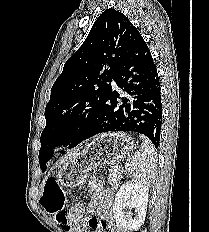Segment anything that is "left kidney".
Instances as JSON below:
<instances>
[{"label":"left kidney","instance_id":"5707ae66","mask_svg":"<svg viewBox=\"0 0 209 232\" xmlns=\"http://www.w3.org/2000/svg\"><path fill=\"white\" fill-rule=\"evenodd\" d=\"M148 203V186L140 181H131L123 184L116 194L113 204L114 218L119 228L128 231L138 229L145 221ZM135 208L137 213L133 218L130 212L124 209Z\"/></svg>","mask_w":209,"mask_h":232}]
</instances>
